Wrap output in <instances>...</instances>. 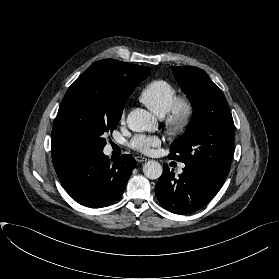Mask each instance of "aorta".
Wrapping results in <instances>:
<instances>
[{"mask_svg":"<svg viewBox=\"0 0 279 279\" xmlns=\"http://www.w3.org/2000/svg\"><path fill=\"white\" fill-rule=\"evenodd\" d=\"M127 125L130 130L135 132L155 131L158 123L156 118L145 109L136 108L127 116ZM144 175L149 179H158L163 172L160 163L156 161H148L143 167Z\"/></svg>","mask_w":279,"mask_h":279,"instance_id":"1","label":"aorta"}]
</instances>
